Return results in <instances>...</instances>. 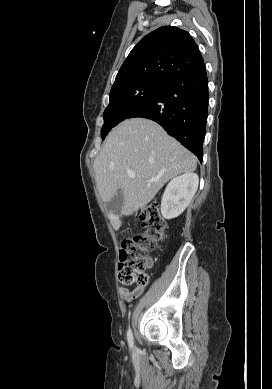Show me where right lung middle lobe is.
Returning a JSON list of instances; mask_svg holds the SVG:
<instances>
[{
  "label": "right lung middle lobe",
  "mask_w": 272,
  "mask_h": 389,
  "mask_svg": "<svg viewBox=\"0 0 272 389\" xmlns=\"http://www.w3.org/2000/svg\"><path fill=\"white\" fill-rule=\"evenodd\" d=\"M166 83L142 80L111 89L109 105L104 111L102 140L117 124L125 120L139 105L160 91Z\"/></svg>",
  "instance_id": "right-lung-middle-lobe-1"
}]
</instances>
